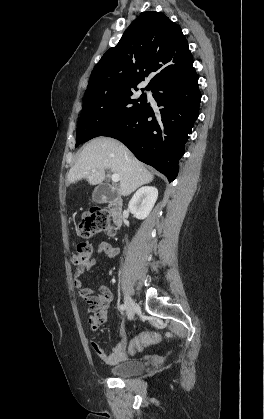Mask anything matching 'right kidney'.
I'll return each mask as SVG.
<instances>
[{
    "label": "right kidney",
    "instance_id": "ca27d5eb",
    "mask_svg": "<svg viewBox=\"0 0 264 419\" xmlns=\"http://www.w3.org/2000/svg\"><path fill=\"white\" fill-rule=\"evenodd\" d=\"M158 198V190L152 186L142 187L131 198L128 208L140 220L147 218Z\"/></svg>",
    "mask_w": 264,
    "mask_h": 419
}]
</instances>
